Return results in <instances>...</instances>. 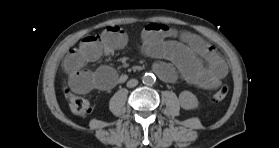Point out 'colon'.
<instances>
[{
	"instance_id": "5ec220e1",
	"label": "colon",
	"mask_w": 279,
	"mask_h": 148,
	"mask_svg": "<svg viewBox=\"0 0 279 148\" xmlns=\"http://www.w3.org/2000/svg\"><path fill=\"white\" fill-rule=\"evenodd\" d=\"M228 93L227 86L217 88L211 94V99L219 102L225 99ZM68 104L71 112L77 116H85L91 111L90 102L83 96L68 93Z\"/></svg>"
}]
</instances>
